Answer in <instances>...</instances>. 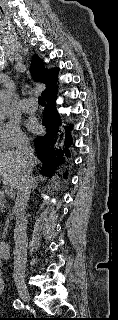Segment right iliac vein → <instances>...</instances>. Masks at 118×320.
<instances>
[{
    "label": "right iliac vein",
    "instance_id": "right-iliac-vein-1",
    "mask_svg": "<svg viewBox=\"0 0 118 320\" xmlns=\"http://www.w3.org/2000/svg\"><path fill=\"white\" fill-rule=\"evenodd\" d=\"M17 290H18V294H19L20 298L23 301H29L30 300V294H29V291H28V289H27L25 284H23V283L17 284Z\"/></svg>",
    "mask_w": 118,
    "mask_h": 320
}]
</instances>
